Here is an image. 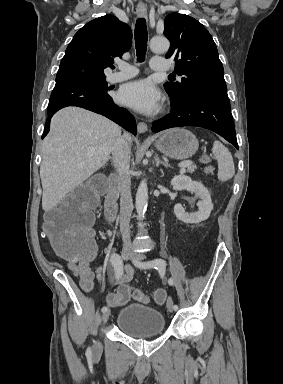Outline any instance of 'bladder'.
Returning a JSON list of instances; mask_svg holds the SVG:
<instances>
[{"label":"bladder","mask_w":283,"mask_h":384,"mask_svg":"<svg viewBox=\"0 0 283 384\" xmlns=\"http://www.w3.org/2000/svg\"><path fill=\"white\" fill-rule=\"evenodd\" d=\"M115 326L131 338L160 336L165 331V316L160 309L131 303L120 310Z\"/></svg>","instance_id":"31cf9c89"}]
</instances>
